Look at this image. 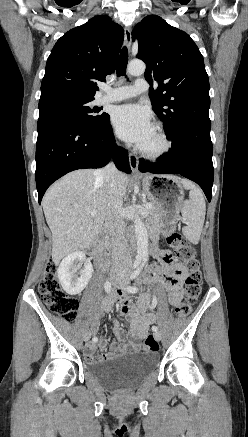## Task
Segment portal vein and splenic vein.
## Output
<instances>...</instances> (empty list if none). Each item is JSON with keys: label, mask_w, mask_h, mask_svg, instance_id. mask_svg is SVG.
I'll return each mask as SVG.
<instances>
[{"label": "portal vein and splenic vein", "mask_w": 248, "mask_h": 437, "mask_svg": "<svg viewBox=\"0 0 248 437\" xmlns=\"http://www.w3.org/2000/svg\"><path fill=\"white\" fill-rule=\"evenodd\" d=\"M151 206H152V204H151V203H148V204H146L145 208L148 209V208H151ZM89 214H90L92 217H95L96 214H97V212H96L95 210H93V211L89 212Z\"/></svg>", "instance_id": "obj_1"}]
</instances>
